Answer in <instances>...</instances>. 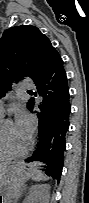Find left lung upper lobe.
<instances>
[{
    "label": "left lung upper lobe",
    "instance_id": "1",
    "mask_svg": "<svg viewBox=\"0 0 89 203\" xmlns=\"http://www.w3.org/2000/svg\"><path fill=\"white\" fill-rule=\"evenodd\" d=\"M49 39L35 26L7 29L0 38V97L23 77L33 80L38 74ZM33 99L27 104L30 110Z\"/></svg>",
    "mask_w": 89,
    "mask_h": 203
}]
</instances>
